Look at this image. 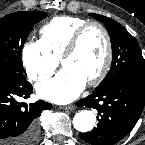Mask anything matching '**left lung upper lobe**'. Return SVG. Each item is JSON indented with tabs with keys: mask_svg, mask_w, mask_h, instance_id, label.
Masks as SVG:
<instances>
[{
	"mask_svg": "<svg viewBox=\"0 0 145 145\" xmlns=\"http://www.w3.org/2000/svg\"><path fill=\"white\" fill-rule=\"evenodd\" d=\"M90 15L105 24L112 45L111 69L95 90L123 79L145 83V66L136 39L113 19L99 14Z\"/></svg>",
	"mask_w": 145,
	"mask_h": 145,
	"instance_id": "1",
	"label": "left lung upper lobe"
}]
</instances>
